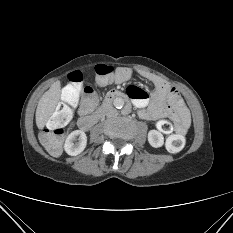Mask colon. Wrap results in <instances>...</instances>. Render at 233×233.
<instances>
[{
  "label": "colon",
  "mask_w": 233,
  "mask_h": 233,
  "mask_svg": "<svg viewBox=\"0 0 233 233\" xmlns=\"http://www.w3.org/2000/svg\"><path fill=\"white\" fill-rule=\"evenodd\" d=\"M95 82L106 85L114 79V68L106 64H98L94 68ZM80 94L85 97H95V91L90 86L84 85L82 72L76 70L68 75V84L62 93L60 102L50 117L46 128L40 135V140L45 148L52 154H59L61 151L65 134L64 127L72 116V109L78 103ZM185 137L181 134L171 135L166 142V146L171 152H178L185 146Z\"/></svg>",
  "instance_id": "colon-1"
}]
</instances>
